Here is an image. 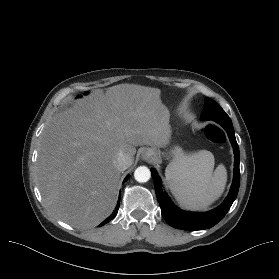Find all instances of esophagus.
<instances>
[{"label":"esophagus","instance_id":"esophagus-1","mask_svg":"<svg viewBox=\"0 0 279 279\" xmlns=\"http://www.w3.org/2000/svg\"><path fill=\"white\" fill-rule=\"evenodd\" d=\"M145 157H146V160H151V159L153 158V153L148 152V153L145 155Z\"/></svg>","mask_w":279,"mask_h":279}]
</instances>
